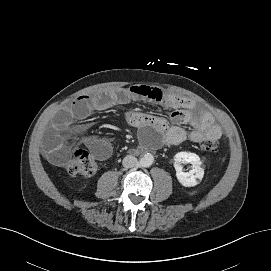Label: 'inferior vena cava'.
<instances>
[{"instance_id":"1","label":"inferior vena cava","mask_w":271,"mask_h":271,"mask_svg":"<svg viewBox=\"0 0 271 271\" xmlns=\"http://www.w3.org/2000/svg\"><path fill=\"white\" fill-rule=\"evenodd\" d=\"M122 165L125 168H132L138 165V160L135 156L128 155L124 157Z\"/></svg>"}]
</instances>
